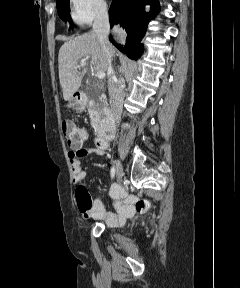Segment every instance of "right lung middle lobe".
<instances>
[{"label": "right lung middle lobe", "instance_id": "1", "mask_svg": "<svg viewBox=\"0 0 240 288\" xmlns=\"http://www.w3.org/2000/svg\"><path fill=\"white\" fill-rule=\"evenodd\" d=\"M57 10L61 19L64 21H69L71 25V17L69 14V0H57Z\"/></svg>", "mask_w": 240, "mask_h": 288}]
</instances>
